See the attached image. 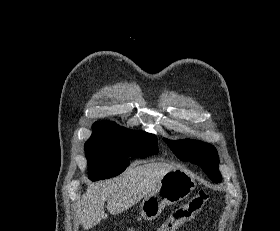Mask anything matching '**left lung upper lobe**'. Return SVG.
<instances>
[{
  "label": "left lung upper lobe",
  "mask_w": 280,
  "mask_h": 231,
  "mask_svg": "<svg viewBox=\"0 0 280 231\" xmlns=\"http://www.w3.org/2000/svg\"><path fill=\"white\" fill-rule=\"evenodd\" d=\"M163 140L181 160L200 164L212 181L216 183L221 181L222 177L218 169L219 157L214 146L193 140L177 142L165 138Z\"/></svg>",
  "instance_id": "1"
}]
</instances>
